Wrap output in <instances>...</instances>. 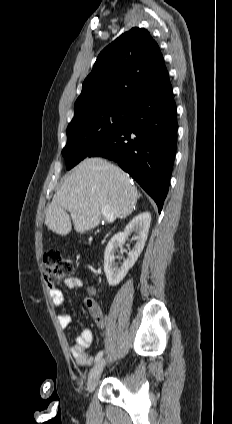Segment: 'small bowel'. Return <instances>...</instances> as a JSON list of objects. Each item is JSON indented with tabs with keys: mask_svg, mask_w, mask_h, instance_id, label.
Listing matches in <instances>:
<instances>
[{
	"mask_svg": "<svg viewBox=\"0 0 232 424\" xmlns=\"http://www.w3.org/2000/svg\"><path fill=\"white\" fill-rule=\"evenodd\" d=\"M65 286L70 289H79L85 287L90 294L95 293V288L90 285L83 277L73 276L67 278L64 282ZM48 294L51 297L54 305L63 310L64 309V296L59 288L52 287L48 289ZM87 308L94 319V322L99 328L106 326V319L100 306L92 300L87 301ZM72 317L69 313L64 311L58 314V322L61 327L66 328L70 325ZM93 341L92 331L88 328H84L80 331L75 339L74 344L70 348L72 357L76 360L79 365L87 366L92 362V357L88 353V348Z\"/></svg>",
	"mask_w": 232,
	"mask_h": 424,
	"instance_id": "c3829d8e",
	"label": "small bowel"
}]
</instances>
